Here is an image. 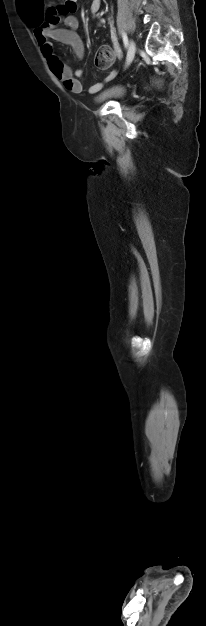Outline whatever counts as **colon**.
Here are the masks:
<instances>
[{"mask_svg":"<svg viewBox=\"0 0 206 626\" xmlns=\"http://www.w3.org/2000/svg\"><path fill=\"white\" fill-rule=\"evenodd\" d=\"M114 58V49L108 45H104L99 49L96 55L95 64L99 69L105 70L112 65Z\"/></svg>","mask_w":206,"mask_h":626,"instance_id":"obj_1","label":"colon"}]
</instances>
